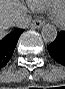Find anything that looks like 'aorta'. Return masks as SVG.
<instances>
[{"label": "aorta", "instance_id": "1", "mask_svg": "<svg viewBox=\"0 0 65 89\" xmlns=\"http://www.w3.org/2000/svg\"><path fill=\"white\" fill-rule=\"evenodd\" d=\"M41 35L45 42H53L57 37V29L51 24H46L41 30Z\"/></svg>", "mask_w": 65, "mask_h": 89}]
</instances>
